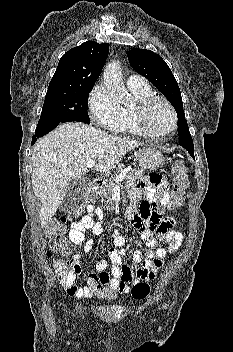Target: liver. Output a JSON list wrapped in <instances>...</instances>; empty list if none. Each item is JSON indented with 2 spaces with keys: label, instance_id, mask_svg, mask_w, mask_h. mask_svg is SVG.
<instances>
[{
  "label": "liver",
  "instance_id": "6515ba94",
  "mask_svg": "<svg viewBox=\"0 0 233 352\" xmlns=\"http://www.w3.org/2000/svg\"><path fill=\"white\" fill-rule=\"evenodd\" d=\"M142 143L109 135L83 123H65L40 139L32 152V185L41 201V226L45 227L62 203L71 179L88 171L90 159H97V170L108 172L126 152Z\"/></svg>",
  "mask_w": 233,
  "mask_h": 352
}]
</instances>
